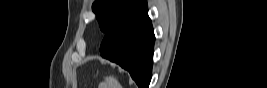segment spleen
<instances>
[{
    "label": "spleen",
    "mask_w": 267,
    "mask_h": 88,
    "mask_svg": "<svg viewBox=\"0 0 267 88\" xmlns=\"http://www.w3.org/2000/svg\"><path fill=\"white\" fill-rule=\"evenodd\" d=\"M107 81L109 82V88H122L120 83L113 77L108 78Z\"/></svg>",
    "instance_id": "3e777b00"
}]
</instances>
